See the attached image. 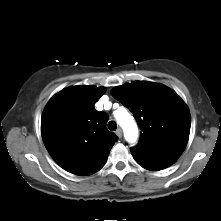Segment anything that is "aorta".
Returning a JSON list of instances; mask_svg holds the SVG:
<instances>
[{"label":"aorta","mask_w":221,"mask_h":221,"mask_svg":"<svg viewBox=\"0 0 221 221\" xmlns=\"http://www.w3.org/2000/svg\"><path fill=\"white\" fill-rule=\"evenodd\" d=\"M116 118L119 125L124 130L125 139L129 143L136 142L138 138V129L133 117L125 109H123L121 114H116Z\"/></svg>","instance_id":"obj_1"}]
</instances>
